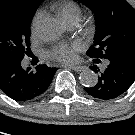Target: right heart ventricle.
I'll use <instances>...</instances> for the list:
<instances>
[{
    "instance_id": "1",
    "label": "right heart ventricle",
    "mask_w": 135,
    "mask_h": 135,
    "mask_svg": "<svg viewBox=\"0 0 135 135\" xmlns=\"http://www.w3.org/2000/svg\"><path fill=\"white\" fill-rule=\"evenodd\" d=\"M53 8L65 23L70 20L79 21L82 15L81 7L74 1H64L55 5Z\"/></svg>"
}]
</instances>
